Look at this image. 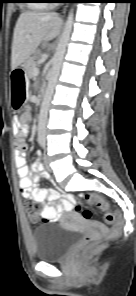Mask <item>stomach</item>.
Here are the masks:
<instances>
[{
	"label": "stomach",
	"mask_w": 136,
	"mask_h": 296,
	"mask_svg": "<svg viewBox=\"0 0 136 296\" xmlns=\"http://www.w3.org/2000/svg\"><path fill=\"white\" fill-rule=\"evenodd\" d=\"M26 74L27 69H12V84H26ZM25 90H28V85H11V108L13 111H21L25 101H29L28 93H25Z\"/></svg>",
	"instance_id": "stomach-1"
}]
</instances>
